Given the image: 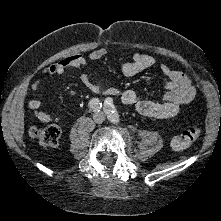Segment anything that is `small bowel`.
<instances>
[{"mask_svg": "<svg viewBox=\"0 0 221 221\" xmlns=\"http://www.w3.org/2000/svg\"><path fill=\"white\" fill-rule=\"evenodd\" d=\"M105 55L106 50L100 48L89 52L88 55L74 54L68 56L45 68L32 83L31 90L36 93L43 80L48 76L60 75L67 70L80 68L86 64L87 59L96 61L102 59ZM154 65L155 59L152 56L135 53L130 61L121 65L120 70L123 75L132 77ZM160 71L167 78L164 84L166 92L160 102L139 99L134 90L120 91L116 88L106 87L101 82L92 80L87 73H83L80 79L86 88L98 96L110 95L119 97L124 104L133 107L144 116L169 118L175 116L182 106L190 103L195 98L196 87L186 74L171 68L167 64H161ZM40 105L41 102L38 97H34L28 102L29 108L34 111L37 119L44 123L61 121V117L42 111Z\"/></svg>", "mask_w": 221, "mask_h": 221, "instance_id": "c3829d8e", "label": "small bowel"}]
</instances>
